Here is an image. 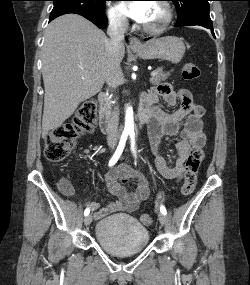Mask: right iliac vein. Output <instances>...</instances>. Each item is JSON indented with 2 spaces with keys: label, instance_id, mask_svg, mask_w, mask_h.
<instances>
[{
  "label": "right iliac vein",
  "instance_id": "obj_1",
  "mask_svg": "<svg viewBox=\"0 0 250 285\" xmlns=\"http://www.w3.org/2000/svg\"><path fill=\"white\" fill-rule=\"evenodd\" d=\"M92 222V215L90 214H88L86 217H85V219H84V224L85 225H90V223Z\"/></svg>",
  "mask_w": 250,
  "mask_h": 285
}]
</instances>
